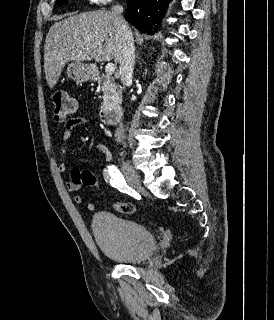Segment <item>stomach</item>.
I'll return each mask as SVG.
<instances>
[{"instance_id":"obj_1","label":"stomach","mask_w":274,"mask_h":320,"mask_svg":"<svg viewBox=\"0 0 274 320\" xmlns=\"http://www.w3.org/2000/svg\"><path fill=\"white\" fill-rule=\"evenodd\" d=\"M71 68L70 74L75 78L76 82H87V80H91L94 74L93 66H91V64L85 66L82 62H73Z\"/></svg>"}]
</instances>
